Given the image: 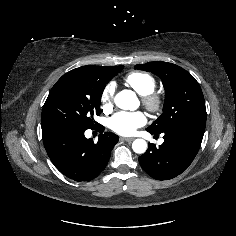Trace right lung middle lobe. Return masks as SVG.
<instances>
[{
  "instance_id": "obj_1",
  "label": "right lung middle lobe",
  "mask_w": 236,
  "mask_h": 236,
  "mask_svg": "<svg viewBox=\"0 0 236 236\" xmlns=\"http://www.w3.org/2000/svg\"><path fill=\"white\" fill-rule=\"evenodd\" d=\"M124 68L83 66L64 74L52 87L41 115L42 137L94 128L106 84Z\"/></svg>"
}]
</instances>
